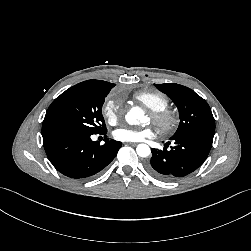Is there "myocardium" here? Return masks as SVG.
<instances>
[{
  "label": "myocardium",
  "instance_id": "obj_1",
  "mask_svg": "<svg viewBox=\"0 0 251 251\" xmlns=\"http://www.w3.org/2000/svg\"><path fill=\"white\" fill-rule=\"evenodd\" d=\"M151 120L162 133L172 131L178 123L177 116L167 109L162 111H153L151 113Z\"/></svg>",
  "mask_w": 251,
  "mask_h": 251
}]
</instances>
